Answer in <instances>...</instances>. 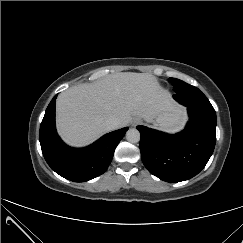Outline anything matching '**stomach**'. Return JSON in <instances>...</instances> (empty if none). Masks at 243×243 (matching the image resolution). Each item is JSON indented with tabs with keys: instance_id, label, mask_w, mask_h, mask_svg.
<instances>
[{
	"instance_id": "0dacf381",
	"label": "stomach",
	"mask_w": 243,
	"mask_h": 243,
	"mask_svg": "<svg viewBox=\"0 0 243 243\" xmlns=\"http://www.w3.org/2000/svg\"><path fill=\"white\" fill-rule=\"evenodd\" d=\"M185 122V114L179 110H166L159 113L154 125L166 131H175L182 127Z\"/></svg>"
}]
</instances>
